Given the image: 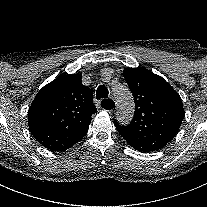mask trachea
<instances>
[{
    "instance_id": "obj_1",
    "label": "trachea",
    "mask_w": 207,
    "mask_h": 207,
    "mask_svg": "<svg viewBox=\"0 0 207 207\" xmlns=\"http://www.w3.org/2000/svg\"><path fill=\"white\" fill-rule=\"evenodd\" d=\"M107 96H108V90H107V88L104 85H100L97 88V91H96V98L97 99L107 98ZM111 102H113V101L110 100V99H103L102 102H101V106L102 107L107 106V104H109Z\"/></svg>"
}]
</instances>
